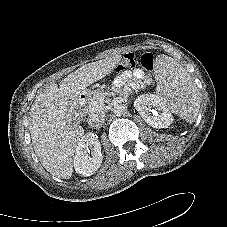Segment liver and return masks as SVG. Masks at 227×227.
Instances as JSON below:
<instances>
[{"label":"liver","instance_id":"1","mask_svg":"<svg viewBox=\"0 0 227 227\" xmlns=\"http://www.w3.org/2000/svg\"><path fill=\"white\" fill-rule=\"evenodd\" d=\"M121 59L116 54L85 64L64 78L59 87L53 83L36 97L30 109L32 145L42 166L52 175L69 179L73 173L75 150L84 136L82 126L71 123L78 109V96L110 74Z\"/></svg>","mask_w":227,"mask_h":227}]
</instances>
